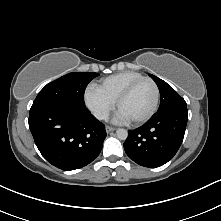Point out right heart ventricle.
<instances>
[{
  "label": "right heart ventricle",
  "mask_w": 221,
  "mask_h": 221,
  "mask_svg": "<svg viewBox=\"0 0 221 221\" xmlns=\"http://www.w3.org/2000/svg\"><path fill=\"white\" fill-rule=\"evenodd\" d=\"M143 75L135 71H125L108 76L97 84V89L111 101L116 102L122 91Z\"/></svg>",
  "instance_id": "obj_1"
}]
</instances>
